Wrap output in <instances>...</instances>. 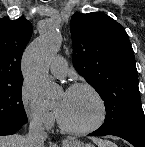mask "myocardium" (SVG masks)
<instances>
[{
	"instance_id": "f54148a6",
	"label": "myocardium",
	"mask_w": 145,
	"mask_h": 147,
	"mask_svg": "<svg viewBox=\"0 0 145 147\" xmlns=\"http://www.w3.org/2000/svg\"><path fill=\"white\" fill-rule=\"evenodd\" d=\"M79 89L88 90L97 100L99 104V108H100V115L98 119L93 124L86 126V127H73V126L68 125L63 120V118L61 117L57 109H56V116H57V120H58V124L60 128L64 130L65 132L70 133V134H75V135H85V134H90L92 132H95L96 130H98L105 124L107 117H108V108L100 92L93 85L89 83H84V82L74 83L67 88L66 92L75 91Z\"/></svg>"
}]
</instances>
